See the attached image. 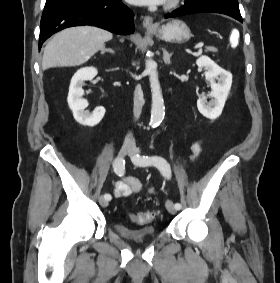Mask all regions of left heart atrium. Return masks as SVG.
<instances>
[{"label": "left heart atrium", "instance_id": "1", "mask_svg": "<svg viewBox=\"0 0 280 283\" xmlns=\"http://www.w3.org/2000/svg\"><path fill=\"white\" fill-rule=\"evenodd\" d=\"M126 1L137 5H157V4H162L166 0H126Z\"/></svg>", "mask_w": 280, "mask_h": 283}]
</instances>
